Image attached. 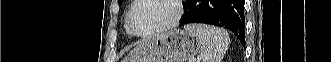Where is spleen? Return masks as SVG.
Segmentation results:
<instances>
[{"instance_id": "spleen-1", "label": "spleen", "mask_w": 331, "mask_h": 62, "mask_svg": "<svg viewBox=\"0 0 331 62\" xmlns=\"http://www.w3.org/2000/svg\"><path fill=\"white\" fill-rule=\"evenodd\" d=\"M186 31L199 39L201 43V62H221L230 43L227 32L223 29L204 24H190Z\"/></svg>"}]
</instances>
